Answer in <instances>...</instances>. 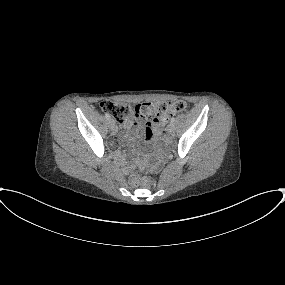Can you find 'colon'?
Wrapping results in <instances>:
<instances>
[{
	"label": "colon",
	"mask_w": 285,
	"mask_h": 285,
	"mask_svg": "<svg viewBox=\"0 0 285 285\" xmlns=\"http://www.w3.org/2000/svg\"><path fill=\"white\" fill-rule=\"evenodd\" d=\"M100 106L121 126L127 127L134 116L153 122L168 120L173 114L185 110L186 103L182 100L161 103L144 102L131 107L125 103L103 101Z\"/></svg>",
	"instance_id": "colon-1"
}]
</instances>
